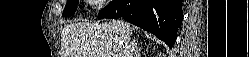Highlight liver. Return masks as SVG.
Here are the masks:
<instances>
[{"label":"liver","instance_id":"6515ba94","mask_svg":"<svg viewBox=\"0 0 249 57\" xmlns=\"http://www.w3.org/2000/svg\"><path fill=\"white\" fill-rule=\"evenodd\" d=\"M134 30L129 23L115 19L66 25L61 33L62 57H124L121 36L130 38Z\"/></svg>","mask_w":249,"mask_h":57}]
</instances>
